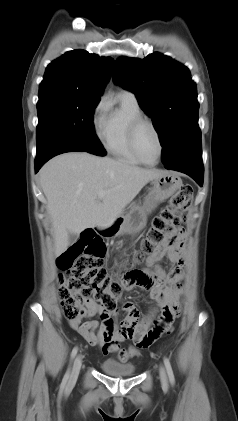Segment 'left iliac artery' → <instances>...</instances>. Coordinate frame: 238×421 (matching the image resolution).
<instances>
[{
	"mask_svg": "<svg viewBox=\"0 0 238 421\" xmlns=\"http://www.w3.org/2000/svg\"><path fill=\"white\" fill-rule=\"evenodd\" d=\"M164 364H165V367H166V369H167V373H168L169 381H170V383H171L172 385H174V383H175V378H174L173 370H172V367H171V364H170L169 359H168V358H166V357H164Z\"/></svg>",
	"mask_w": 238,
	"mask_h": 421,
	"instance_id": "44dca946",
	"label": "left iliac artery"
}]
</instances>
